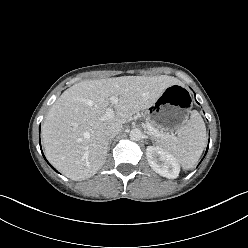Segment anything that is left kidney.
<instances>
[{
    "label": "left kidney",
    "mask_w": 248,
    "mask_h": 248,
    "mask_svg": "<svg viewBox=\"0 0 248 248\" xmlns=\"http://www.w3.org/2000/svg\"><path fill=\"white\" fill-rule=\"evenodd\" d=\"M147 161L150 167L159 175L168 179L178 177L180 167L175 158L159 146H148Z\"/></svg>",
    "instance_id": "obj_1"
}]
</instances>
